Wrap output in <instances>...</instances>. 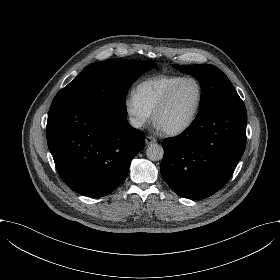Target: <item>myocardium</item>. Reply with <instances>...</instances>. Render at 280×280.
<instances>
[{
  "label": "myocardium",
  "mask_w": 280,
  "mask_h": 280,
  "mask_svg": "<svg viewBox=\"0 0 280 280\" xmlns=\"http://www.w3.org/2000/svg\"><path fill=\"white\" fill-rule=\"evenodd\" d=\"M190 80L196 82L199 87V100H198L196 110H195L194 114L192 115V117L185 123L176 125L169 129H165L166 133H168L169 135H177V134L183 133L184 131L189 129L198 119L200 112L202 110L204 98H205V89H204L203 83L197 77H194V76L184 77L180 82H178L173 88L170 89V91L167 93L165 98L162 100V102L157 106V108L154 111V119L157 121L159 115L169 107V105H170L175 93L178 91V89L186 81H190Z\"/></svg>",
  "instance_id": "myocardium-1"
}]
</instances>
